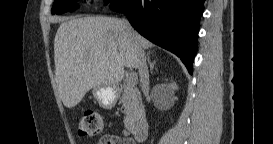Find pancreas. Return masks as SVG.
Returning a JSON list of instances; mask_svg holds the SVG:
<instances>
[{"instance_id": "cf45deb5", "label": "pancreas", "mask_w": 273, "mask_h": 144, "mask_svg": "<svg viewBox=\"0 0 273 144\" xmlns=\"http://www.w3.org/2000/svg\"><path fill=\"white\" fill-rule=\"evenodd\" d=\"M120 101L124 107L125 128L131 130L136 121L144 115V106L142 105L141 94L135 86H126L122 96L120 97Z\"/></svg>"}]
</instances>
